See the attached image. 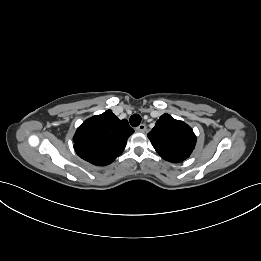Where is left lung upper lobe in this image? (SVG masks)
I'll return each instance as SVG.
<instances>
[{
	"mask_svg": "<svg viewBox=\"0 0 261 261\" xmlns=\"http://www.w3.org/2000/svg\"><path fill=\"white\" fill-rule=\"evenodd\" d=\"M157 153L166 161L179 163L195 148L196 136L186 123L163 114L148 134Z\"/></svg>",
	"mask_w": 261,
	"mask_h": 261,
	"instance_id": "1",
	"label": "left lung upper lobe"
}]
</instances>
